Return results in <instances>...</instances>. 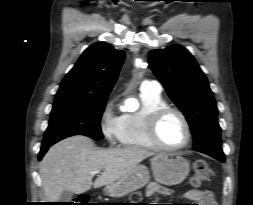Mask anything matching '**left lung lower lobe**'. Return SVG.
Returning <instances> with one entry per match:
<instances>
[{
    "label": "left lung lower lobe",
    "instance_id": "0a47b994",
    "mask_svg": "<svg viewBox=\"0 0 253 205\" xmlns=\"http://www.w3.org/2000/svg\"><path fill=\"white\" fill-rule=\"evenodd\" d=\"M215 159H217V160H219V161H221V162H224V161H225V159H221V158H215Z\"/></svg>",
    "mask_w": 253,
    "mask_h": 205
}]
</instances>
